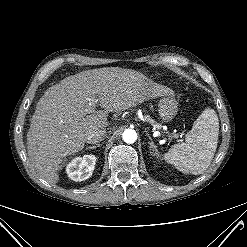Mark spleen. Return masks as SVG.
<instances>
[{"instance_id": "obj_1", "label": "spleen", "mask_w": 247, "mask_h": 247, "mask_svg": "<svg viewBox=\"0 0 247 247\" xmlns=\"http://www.w3.org/2000/svg\"><path fill=\"white\" fill-rule=\"evenodd\" d=\"M218 136V116L213 109H205L186 134L185 142L175 144L163 159L185 174H201L214 157Z\"/></svg>"}]
</instances>
